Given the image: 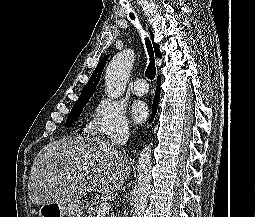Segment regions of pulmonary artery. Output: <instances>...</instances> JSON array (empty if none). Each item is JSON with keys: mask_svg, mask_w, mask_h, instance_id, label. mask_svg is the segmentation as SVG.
Instances as JSON below:
<instances>
[{"mask_svg": "<svg viewBox=\"0 0 255 217\" xmlns=\"http://www.w3.org/2000/svg\"><path fill=\"white\" fill-rule=\"evenodd\" d=\"M132 92L137 96H143L148 92V86L143 78H137L132 86Z\"/></svg>", "mask_w": 255, "mask_h": 217, "instance_id": "pulmonary-artery-1", "label": "pulmonary artery"}]
</instances>
